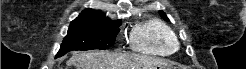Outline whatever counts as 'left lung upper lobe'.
<instances>
[{"mask_svg":"<svg viewBox=\"0 0 246 69\" xmlns=\"http://www.w3.org/2000/svg\"><path fill=\"white\" fill-rule=\"evenodd\" d=\"M160 14H161V16H162L165 20L169 21L168 18H167V16H166L163 12H160Z\"/></svg>","mask_w":246,"mask_h":69,"instance_id":"obj_1","label":"left lung upper lobe"}]
</instances>
